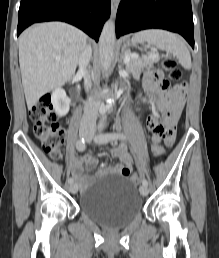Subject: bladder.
<instances>
[{"label": "bladder", "instance_id": "1", "mask_svg": "<svg viewBox=\"0 0 219 258\" xmlns=\"http://www.w3.org/2000/svg\"><path fill=\"white\" fill-rule=\"evenodd\" d=\"M79 209L107 227H122L132 222L144 204L136 187L122 175H100L79 197Z\"/></svg>", "mask_w": 219, "mask_h": 258}]
</instances>
